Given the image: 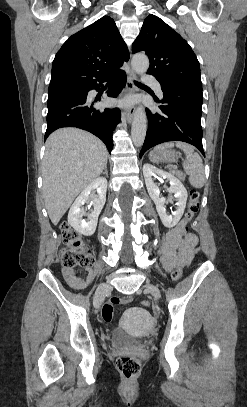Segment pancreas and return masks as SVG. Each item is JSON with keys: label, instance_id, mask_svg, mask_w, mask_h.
Here are the masks:
<instances>
[{"label": "pancreas", "instance_id": "1", "mask_svg": "<svg viewBox=\"0 0 247 407\" xmlns=\"http://www.w3.org/2000/svg\"><path fill=\"white\" fill-rule=\"evenodd\" d=\"M181 180L185 179V175L180 172H174Z\"/></svg>", "mask_w": 247, "mask_h": 407}]
</instances>
